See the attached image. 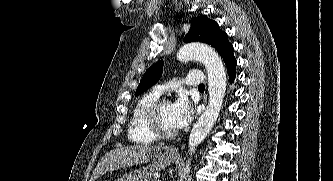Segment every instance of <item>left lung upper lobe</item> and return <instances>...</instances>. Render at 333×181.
I'll use <instances>...</instances> for the list:
<instances>
[{
	"label": "left lung upper lobe",
	"mask_w": 333,
	"mask_h": 181,
	"mask_svg": "<svg viewBox=\"0 0 333 181\" xmlns=\"http://www.w3.org/2000/svg\"><path fill=\"white\" fill-rule=\"evenodd\" d=\"M204 42L213 46L223 57L233 46L229 43L227 34L223 32L217 22L205 15L191 20V27L184 38V42ZM163 61L153 64L144 74L137 87L135 96L153 86L162 76Z\"/></svg>",
	"instance_id": "obj_1"
}]
</instances>
